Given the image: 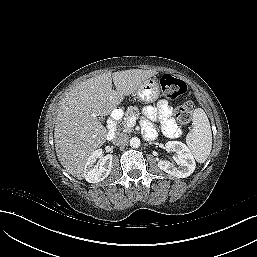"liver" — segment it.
<instances>
[{
    "instance_id": "liver-1",
    "label": "liver",
    "mask_w": 257,
    "mask_h": 257,
    "mask_svg": "<svg viewBox=\"0 0 257 257\" xmlns=\"http://www.w3.org/2000/svg\"><path fill=\"white\" fill-rule=\"evenodd\" d=\"M156 74L141 69L108 72L81 82L66 94L58 109L54 139L57 157L67 172L83 178L87 158L107 139V129L97 116L110 114L125 96Z\"/></svg>"
}]
</instances>
